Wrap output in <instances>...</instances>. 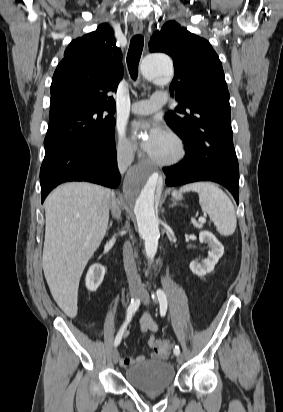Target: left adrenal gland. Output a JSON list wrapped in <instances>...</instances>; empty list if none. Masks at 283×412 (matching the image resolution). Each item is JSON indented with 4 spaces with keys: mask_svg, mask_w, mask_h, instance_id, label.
Segmentation results:
<instances>
[{
    "mask_svg": "<svg viewBox=\"0 0 283 412\" xmlns=\"http://www.w3.org/2000/svg\"><path fill=\"white\" fill-rule=\"evenodd\" d=\"M176 205H177L176 202L173 201V203H172L169 207L171 208V207H174V206H176Z\"/></svg>",
    "mask_w": 283,
    "mask_h": 412,
    "instance_id": "a2214340",
    "label": "left adrenal gland"
}]
</instances>
